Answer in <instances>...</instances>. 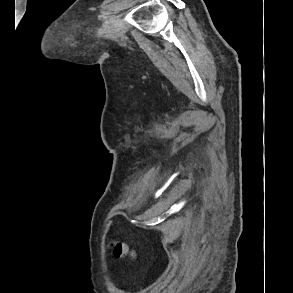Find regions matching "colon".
<instances>
[{
    "mask_svg": "<svg viewBox=\"0 0 293 293\" xmlns=\"http://www.w3.org/2000/svg\"><path fill=\"white\" fill-rule=\"evenodd\" d=\"M111 248H112V252L114 256L118 258L127 256V255H130V256L134 255L129 245L125 242L118 241V242L112 243Z\"/></svg>",
    "mask_w": 293,
    "mask_h": 293,
    "instance_id": "1",
    "label": "colon"
}]
</instances>
